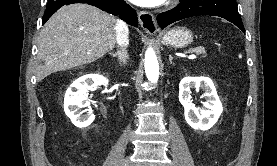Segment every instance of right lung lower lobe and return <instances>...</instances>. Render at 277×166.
Masks as SVG:
<instances>
[{
	"instance_id": "1",
	"label": "right lung lower lobe",
	"mask_w": 277,
	"mask_h": 166,
	"mask_svg": "<svg viewBox=\"0 0 277 166\" xmlns=\"http://www.w3.org/2000/svg\"><path fill=\"white\" fill-rule=\"evenodd\" d=\"M73 3H87L98 7L99 9L111 13L113 15H119V17L126 21L128 24L137 27L138 20L137 14L123 0H48L46 10L42 19V24L53 15L63 5H69Z\"/></svg>"
}]
</instances>
